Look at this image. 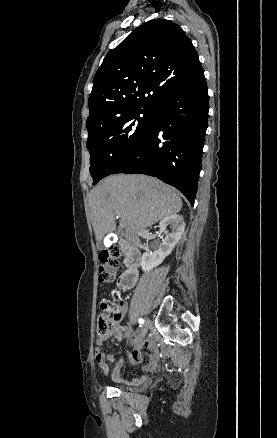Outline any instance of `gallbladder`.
<instances>
[{"mask_svg": "<svg viewBox=\"0 0 277 438\" xmlns=\"http://www.w3.org/2000/svg\"><path fill=\"white\" fill-rule=\"evenodd\" d=\"M99 251H104V246L102 244V242H99V244H97Z\"/></svg>", "mask_w": 277, "mask_h": 438, "instance_id": "obj_1", "label": "gallbladder"}]
</instances>
